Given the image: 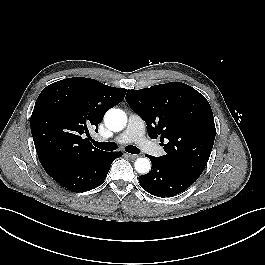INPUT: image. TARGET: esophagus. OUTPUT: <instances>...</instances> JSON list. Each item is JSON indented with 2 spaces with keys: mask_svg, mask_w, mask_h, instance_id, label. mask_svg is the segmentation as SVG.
<instances>
[{
  "mask_svg": "<svg viewBox=\"0 0 265 265\" xmlns=\"http://www.w3.org/2000/svg\"><path fill=\"white\" fill-rule=\"evenodd\" d=\"M126 156L129 157L130 159H133V160L138 157V155L130 154V153H126Z\"/></svg>",
  "mask_w": 265,
  "mask_h": 265,
  "instance_id": "1",
  "label": "esophagus"
}]
</instances>
